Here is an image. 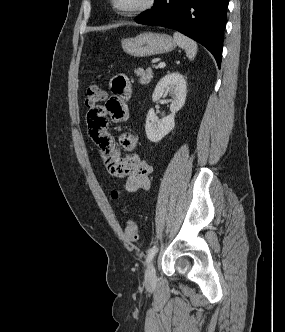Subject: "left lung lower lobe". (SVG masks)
Masks as SVG:
<instances>
[{
  "mask_svg": "<svg viewBox=\"0 0 285 332\" xmlns=\"http://www.w3.org/2000/svg\"><path fill=\"white\" fill-rule=\"evenodd\" d=\"M228 0H161L136 22L179 31L206 47L221 65Z\"/></svg>",
  "mask_w": 285,
  "mask_h": 332,
  "instance_id": "obj_1",
  "label": "left lung lower lobe"
}]
</instances>
